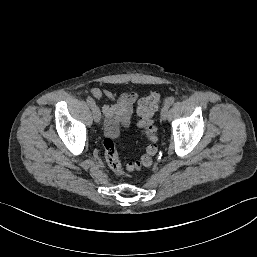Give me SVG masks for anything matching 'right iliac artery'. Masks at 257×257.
I'll list each match as a JSON object with an SVG mask.
<instances>
[{
  "mask_svg": "<svg viewBox=\"0 0 257 257\" xmlns=\"http://www.w3.org/2000/svg\"><path fill=\"white\" fill-rule=\"evenodd\" d=\"M88 105L93 109L96 105H95V101L92 97L88 96L86 99Z\"/></svg>",
  "mask_w": 257,
  "mask_h": 257,
  "instance_id": "82829eb1",
  "label": "right iliac artery"
}]
</instances>
